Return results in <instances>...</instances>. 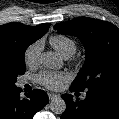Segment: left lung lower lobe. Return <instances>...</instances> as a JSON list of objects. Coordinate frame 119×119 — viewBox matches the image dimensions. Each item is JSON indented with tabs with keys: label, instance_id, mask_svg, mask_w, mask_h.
Here are the masks:
<instances>
[{
	"label": "left lung lower lobe",
	"instance_id": "1",
	"mask_svg": "<svg viewBox=\"0 0 119 119\" xmlns=\"http://www.w3.org/2000/svg\"><path fill=\"white\" fill-rule=\"evenodd\" d=\"M72 92H80L70 87ZM66 110L61 119H119V93L107 90H87L83 101L64 94Z\"/></svg>",
	"mask_w": 119,
	"mask_h": 119
}]
</instances>
